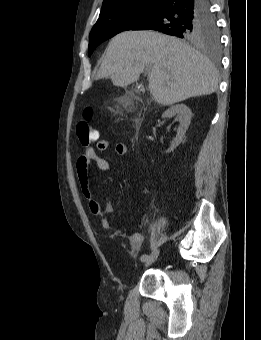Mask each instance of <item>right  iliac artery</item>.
Instances as JSON below:
<instances>
[{
    "label": "right iliac artery",
    "mask_w": 261,
    "mask_h": 340,
    "mask_svg": "<svg viewBox=\"0 0 261 340\" xmlns=\"http://www.w3.org/2000/svg\"><path fill=\"white\" fill-rule=\"evenodd\" d=\"M148 257H149V255L143 254V255L140 257V260H141L142 262H146V261L148 260Z\"/></svg>",
    "instance_id": "1"
}]
</instances>
